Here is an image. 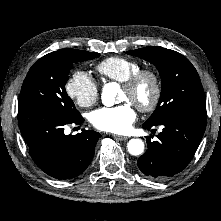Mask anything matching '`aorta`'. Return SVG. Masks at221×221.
<instances>
[{
  "mask_svg": "<svg viewBox=\"0 0 221 221\" xmlns=\"http://www.w3.org/2000/svg\"><path fill=\"white\" fill-rule=\"evenodd\" d=\"M117 83L110 82L104 85L101 94L102 103L105 106H113L115 104V96L119 91ZM128 152L131 155L138 156L144 152V142L141 139H131L127 144Z\"/></svg>",
  "mask_w": 221,
  "mask_h": 221,
  "instance_id": "762f6f07",
  "label": "aorta"
}]
</instances>
